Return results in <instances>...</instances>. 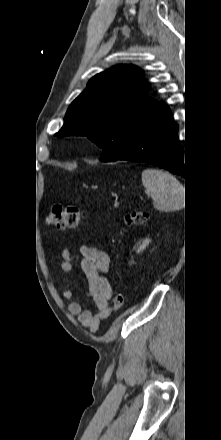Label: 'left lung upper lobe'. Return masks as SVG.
Masks as SVG:
<instances>
[{"instance_id": "obj_1", "label": "left lung upper lobe", "mask_w": 221, "mask_h": 440, "mask_svg": "<svg viewBox=\"0 0 221 440\" xmlns=\"http://www.w3.org/2000/svg\"><path fill=\"white\" fill-rule=\"evenodd\" d=\"M133 65L116 66L95 75L69 106L55 136H87L103 149L100 160H118L126 151L139 120L155 105L149 85Z\"/></svg>"}]
</instances>
